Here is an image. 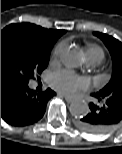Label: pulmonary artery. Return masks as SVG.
Masks as SVG:
<instances>
[{
	"mask_svg": "<svg viewBox=\"0 0 122 154\" xmlns=\"http://www.w3.org/2000/svg\"><path fill=\"white\" fill-rule=\"evenodd\" d=\"M101 59L98 57L88 56L87 65L91 68L98 66L101 63Z\"/></svg>",
	"mask_w": 122,
	"mask_h": 154,
	"instance_id": "1",
	"label": "pulmonary artery"
}]
</instances>
